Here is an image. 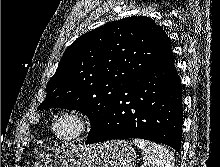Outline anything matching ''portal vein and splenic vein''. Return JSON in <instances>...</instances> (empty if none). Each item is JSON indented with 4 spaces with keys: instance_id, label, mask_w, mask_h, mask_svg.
I'll list each match as a JSON object with an SVG mask.
<instances>
[{
    "instance_id": "18ae733b",
    "label": "portal vein and splenic vein",
    "mask_w": 220,
    "mask_h": 167,
    "mask_svg": "<svg viewBox=\"0 0 220 167\" xmlns=\"http://www.w3.org/2000/svg\"><path fill=\"white\" fill-rule=\"evenodd\" d=\"M146 165H142L141 167H145Z\"/></svg>"
}]
</instances>
